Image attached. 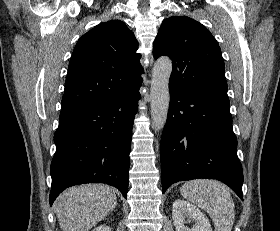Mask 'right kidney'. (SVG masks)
<instances>
[{
	"instance_id": "1",
	"label": "right kidney",
	"mask_w": 280,
	"mask_h": 231,
	"mask_svg": "<svg viewBox=\"0 0 280 231\" xmlns=\"http://www.w3.org/2000/svg\"><path fill=\"white\" fill-rule=\"evenodd\" d=\"M92 231H111V227L103 223V225H98V227H95V229H92Z\"/></svg>"
}]
</instances>
